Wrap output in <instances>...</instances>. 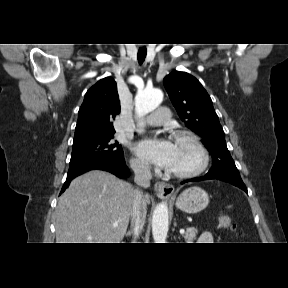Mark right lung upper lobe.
I'll use <instances>...</instances> for the list:
<instances>
[{
    "label": "right lung upper lobe",
    "instance_id": "right-lung-upper-lobe-1",
    "mask_svg": "<svg viewBox=\"0 0 288 288\" xmlns=\"http://www.w3.org/2000/svg\"><path fill=\"white\" fill-rule=\"evenodd\" d=\"M119 112L115 80L111 77L101 79L85 94L78 113L73 143L114 134L112 120Z\"/></svg>",
    "mask_w": 288,
    "mask_h": 288
}]
</instances>
